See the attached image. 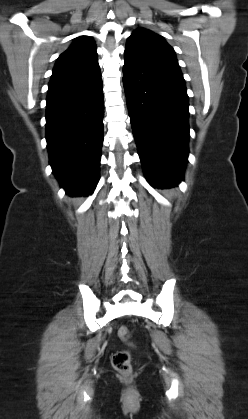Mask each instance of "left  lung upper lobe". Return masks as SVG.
<instances>
[{"label":"left lung upper lobe","instance_id":"left-lung-upper-lobe-1","mask_svg":"<svg viewBox=\"0 0 248 419\" xmlns=\"http://www.w3.org/2000/svg\"><path fill=\"white\" fill-rule=\"evenodd\" d=\"M125 51L137 58L180 71L173 48L166 43L162 36L150 30L143 28L135 30L128 38Z\"/></svg>","mask_w":248,"mask_h":419}]
</instances>
